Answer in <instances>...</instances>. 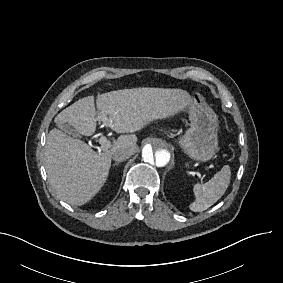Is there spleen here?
<instances>
[{
	"mask_svg": "<svg viewBox=\"0 0 283 283\" xmlns=\"http://www.w3.org/2000/svg\"><path fill=\"white\" fill-rule=\"evenodd\" d=\"M231 179L230 166L225 165L214 177L204 184H195L196 200L189 205L190 210L201 212L216 203L226 192Z\"/></svg>",
	"mask_w": 283,
	"mask_h": 283,
	"instance_id": "3e777b00",
	"label": "spleen"
}]
</instances>
